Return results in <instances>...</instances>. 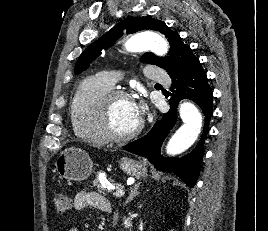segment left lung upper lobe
Returning <instances> with one entry per match:
<instances>
[{
  "instance_id": "obj_1",
  "label": "left lung upper lobe",
  "mask_w": 268,
  "mask_h": 231,
  "mask_svg": "<svg viewBox=\"0 0 268 231\" xmlns=\"http://www.w3.org/2000/svg\"><path fill=\"white\" fill-rule=\"evenodd\" d=\"M123 29L127 33H135L144 29L159 31L164 34L170 43V52L167 57H158L153 53H145L143 62L157 65L165 69L168 74L182 70L188 62L195 57L187 44H184L176 31H172L163 21L149 16L128 18L121 21L110 31L104 34L99 40L89 45L79 56L75 73L79 74L85 70L90 62L101 54L103 49H107L116 39L123 34Z\"/></svg>"
}]
</instances>
